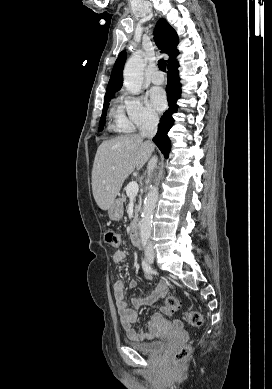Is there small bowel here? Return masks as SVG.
Segmentation results:
<instances>
[{
  "instance_id": "small-bowel-1",
  "label": "small bowel",
  "mask_w": 272,
  "mask_h": 389,
  "mask_svg": "<svg viewBox=\"0 0 272 389\" xmlns=\"http://www.w3.org/2000/svg\"><path fill=\"white\" fill-rule=\"evenodd\" d=\"M127 252L125 250H118L114 252L112 259L115 263H121L125 260ZM137 287V282L131 280L129 282V288L134 289ZM114 297L118 314L120 317L121 325L129 339L134 341H144L154 338V332L152 326L160 319V314L155 313L149 321V330H139L134 328V323L138 318V310L142 306H154V304L161 298L167 295L169 288L167 283L160 282L155 290L149 296L145 298H133L130 303L126 301L125 286L122 280H118L113 285ZM165 313V309H161Z\"/></svg>"
}]
</instances>
